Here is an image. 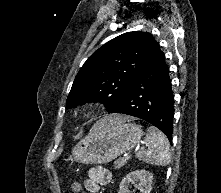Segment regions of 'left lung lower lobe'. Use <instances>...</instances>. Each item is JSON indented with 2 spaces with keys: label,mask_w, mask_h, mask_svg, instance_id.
Masks as SVG:
<instances>
[{
  "label": "left lung lower lobe",
  "mask_w": 221,
  "mask_h": 193,
  "mask_svg": "<svg viewBox=\"0 0 221 193\" xmlns=\"http://www.w3.org/2000/svg\"><path fill=\"white\" fill-rule=\"evenodd\" d=\"M165 55L141 73L126 96L109 113L143 119L160 129L172 143L174 94Z\"/></svg>",
  "instance_id": "obj_1"
}]
</instances>
